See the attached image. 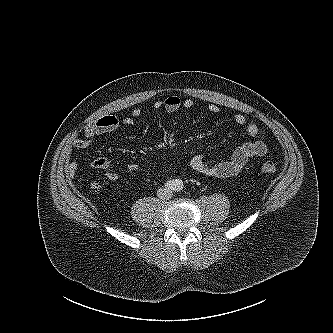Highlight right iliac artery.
<instances>
[{
  "mask_svg": "<svg viewBox=\"0 0 333 333\" xmlns=\"http://www.w3.org/2000/svg\"><path fill=\"white\" fill-rule=\"evenodd\" d=\"M165 187L167 188V189H170V190H174V187H175V182L174 181H167L166 183H165Z\"/></svg>",
  "mask_w": 333,
  "mask_h": 333,
  "instance_id": "1",
  "label": "right iliac artery"
}]
</instances>
